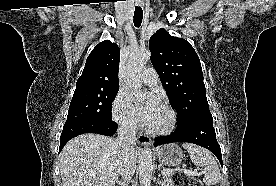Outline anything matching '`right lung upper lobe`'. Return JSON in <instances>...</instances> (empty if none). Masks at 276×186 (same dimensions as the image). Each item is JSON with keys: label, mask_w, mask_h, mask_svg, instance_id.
<instances>
[{"label": "right lung upper lobe", "mask_w": 276, "mask_h": 186, "mask_svg": "<svg viewBox=\"0 0 276 186\" xmlns=\"http://www.w3.org/2000/svg\"><path fill=\"white\" fill-rule=\"evenodd\" d=\"M119 55V47L109 40L96 45L86 60L76 89L119 87Z\"/></svg>", "instance_id": "cb5924a9"}]
</instances>
